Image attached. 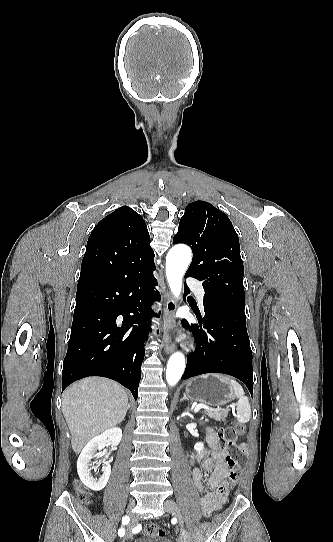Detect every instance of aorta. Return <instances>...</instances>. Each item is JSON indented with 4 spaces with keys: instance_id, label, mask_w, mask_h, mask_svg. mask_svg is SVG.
Masks as SVG:
<instances>
[{
    "instance_id": "1",
    "label": "aorta",
    "mask_w": 333,
    "mask_h": 542,
    "mask_svg": "<svg viewBox=\"0 0 333 542\" xmlns=\"http://www.w3.org/2000/svg\"><path fill=\"white\" fill-rule=\"evenodd\" d=\"M192 260L189 246L178 244L169 250L166 258V276L169 288L174 298H179L182 292V278ZM185 370V356L175 352L168 360L166 382L169 386H176L181 380Z\"/></svg>"
}]
</instances>
